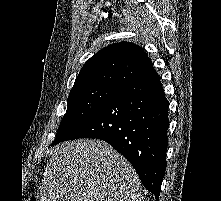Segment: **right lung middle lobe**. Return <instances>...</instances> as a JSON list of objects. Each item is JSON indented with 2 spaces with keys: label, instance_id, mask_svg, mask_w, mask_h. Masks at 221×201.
I'll list each match as a JSON object with an SVG mask.
<instances>
[{
  "label": "right lung middle lobe",
  "instance_id": "1",
  "mask_svg": "<svg viewBox=\"0 0 221 201\" xmlns=\"http://www.w3.org/2000/svg\"><path fill=\"white\" fill-rule=\"evenodd\" d=\"M118 91L119 89L103 86L72 90L67 100L66 114L52 145L66 140Z\"/></svg>",
  "mask_w": 221,
  "mask_h": 201
}]
</instances>
